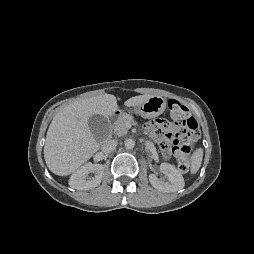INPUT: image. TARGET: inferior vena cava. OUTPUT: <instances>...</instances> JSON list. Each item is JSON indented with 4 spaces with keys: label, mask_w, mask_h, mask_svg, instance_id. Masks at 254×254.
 <instances>
[{
    "label": "inferior vena cava",
    "mask_w": 254,
    "mask_h": 254,
    "mask_svg": "<svg viewBox=\"0 0 254 254\" xmlns=\"http://www.w3.org/2000/svg\"><path fill=\"white\" fill-rule=\"evenodd\" d=\"M116 146H117V141L114 139H111V140L106 141L102 145L101 149H102V152H104V153H110L116 148Z\"/></svg>",
    "instance_id": "602c4592"
}]
</instances>
